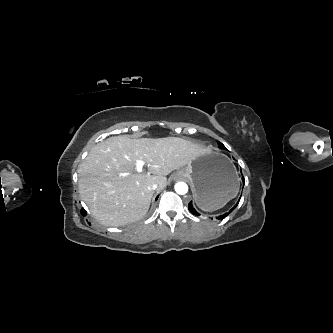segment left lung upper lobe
<instances>
[{
    "mask_svg": "<svg viewBox=\"0 0 333 333\" xmlns=\"http://www.w3.org/2000/svg\"><path fill=\"white\" fill-rule=\"evenodd\" d=\"M218 146L220 149H226L225 146L221 142H218Z\"/></svg>",
    "mask_w": 333,
    "mask_h": 333,
    "instance_id": "1",
    "label": "left lung upper lobe"
}]
</instances>
